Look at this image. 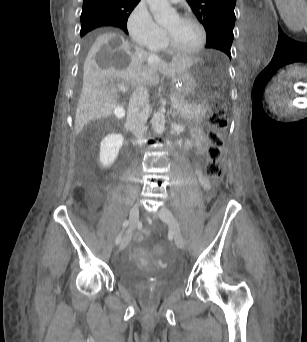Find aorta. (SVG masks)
<instances>
[{"instance_id": "aorta-1", "label": "aorta", "mask_w": 307, "mask_h": 342, "mask_svg": "<svg viewBox=\"0 0 307 342\" xmlns=\"http://www.w3.org/2000/svg\"><path fill=\"white\" fill-rule=\"evenodd\" d=\"M147 4L155 22L160 24V26H167V24H173V22L179 20L176 10L171 8V4L167 0H147ZM151 122L154 132L156 134H163L165 130V116L162 110L153 114Z\"/></svg>"}]
</instances>
